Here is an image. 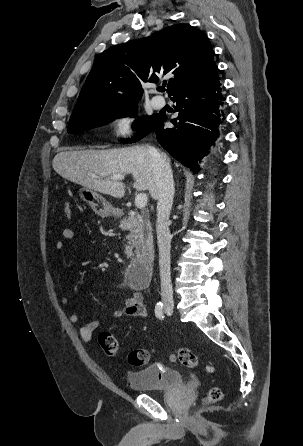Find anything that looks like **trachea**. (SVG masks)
Listing matches in <instances>:
<instances>
[{
  "instance_id": "trachea-1",
  "label": "trachea",
  "mask_w": 303,
  "mask_h": 446,
  "mask_svg": "<svg viewBox=\"0 0 303 446\" xmlns=\"http://www.w3.org/2000/svg\"><path fill=\"white\" fill-rule=\"evenodd\" d=\"M159 90L163 92V91H165V87H161V88H159Z\"/></svg>"
}]
</instances>
